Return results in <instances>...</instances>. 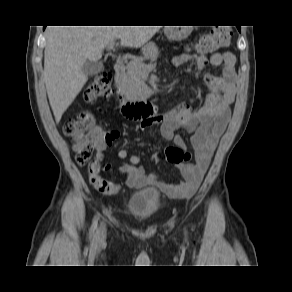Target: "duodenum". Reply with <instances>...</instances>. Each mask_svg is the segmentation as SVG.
Instances as JSON below:
<instances>
[{
    "label": "duodenum",
    "instance_id": "duodenum-1",
    "mask_svg": "<svg viewBox=\"0 0 292 292\" xmlns=\"http://www.w3.org/2000/svg\"><path fill=\"white\" fill-rule=\"evenodd\" d=\"M113 67L116 77L117 93L120 95V84L125 73V61L123 59H117ZM120 103L124 115L131 119L133 118L141 121L151 120L157 115V104L149 100L135 101L122 99Z\"/></svg>",
    "mask_w": 292,
    "mask_h": 292
}]
</instances>
